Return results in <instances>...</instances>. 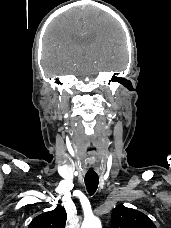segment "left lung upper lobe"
Wrapping results in <instances>:
<instances>
[{"mask_svg": "<svg viewBox=\"0 0 171 228\" xmlns=\"http://www.w3.org/2000/svg\"><path fill=\"white\" fill-rule=\"evenodd\" d=\"M111 221L113 228H156L148 216L123 205L113 209Z\"/></svg>", "mask_w": 171, "mask_h": 228, "instance_id": "obj_1", "label": "left lung upper lobe"}]
</instances>
